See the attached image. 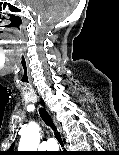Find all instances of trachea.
Returning a JSON list of instances; mask_svg holds the SVG:
<instances>
[{
    "label": "trachea",
    "instance_id": "3493384b",
    "mask_svg": "<svg viewBox=\"0 0 119 155\" xmlns=\"http://www.w3.org/2000/svg\"><path fill=\"white\" fill-rule=\"evenodd\" d=\"M40 116L42 120L45 122L46 125L50 126L55 131V138L60 143V145H63V140L60 135V133L56 130V127L52 121V118L50 114L46 111V109L42 108L40 109Z\"/></svg>",
    "mask_w": 119,
    "mask_h": 155
}]
</instances>
